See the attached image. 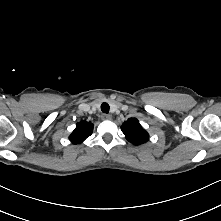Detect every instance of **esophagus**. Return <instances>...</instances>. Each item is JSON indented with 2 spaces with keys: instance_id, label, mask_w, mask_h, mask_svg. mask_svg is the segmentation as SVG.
<instances>
[{
  "instance_id": "obj_1",
  "label": "esophagus",
  "mask_w": 221,
  "mask_h": 221,
  "mask_svg": "<svg viewBox=\"0 0 221 221\" xmlns=\"http://www.w3.org/2000/svg\"><path fill=\"white\" fill-rule=\"evenodd\" d=\"M101 118H102L103 120H111V119H112V116L109 115V114H102Z\"/></svg>"
}]
</instances>
